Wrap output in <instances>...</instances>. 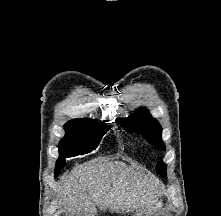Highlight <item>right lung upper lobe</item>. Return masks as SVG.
Returning <instances> with one entry per match:
<instances>
[{
	"instance_id": "1",
	"label": "right lung upper lobe",
	"mask_w": 221,
	"mask_h": 216,
	"mask_svg": "<svg viewBox=\"0 0 221 216\" xmlns=\"http://www.w3.org/2000/svg\"><path fill=\"white\" fill-rule=\"evenodd\" d=\"M84 119H86V118H84ZM75 120H78V119L71 120V121H69L68 123H70V122H72V121H75ZM66 124H67V123H66Z\"/></svg>"
}]
</instances>
